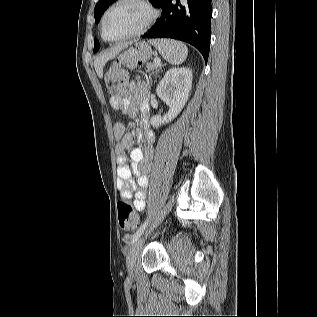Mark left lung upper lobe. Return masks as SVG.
<instances>
[{"instance_id": "5c2ea615", "label": "left lung upper lobe", "mask_w": 317, "mask_h": 317, "mask_svg": "<svg viewBox=\"0 0 317 317\" xmlns=\"http://www.w3.org/2000/svg\"><path fill=\"white\" fill-rule=\"evenodd\" d=\"M116 0H99L94 9L95 22L98 23L104 11ZM155 7H160L164 0H149ZM99 49V43L95 40L94 52Z\"/></svg>"}]
</instances>
